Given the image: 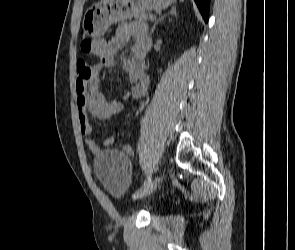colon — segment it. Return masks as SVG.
<instances>
[{"label":"colon","instance_id":"5ec220e1","mask_svg":"<svg viewBox=\"0 0 295 250\" xmlns=\"http://www.w3.org/2000/svg\"><path fill=\"white\" fill-rule=\"evenodd\" d=\"M100 39L86 38L81 43V50L87 54H93L99 49Z\"/></svg>","mask_w":295,"mask_h":250}]
</instances>
